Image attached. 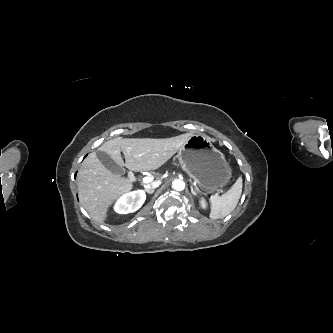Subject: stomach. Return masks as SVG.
Here are the masks:
<instances>
[{
    "label": "stomach",
    "mask_w": 333,
    "mask_h": 333,
    "mask_svg": "<svg viewBox=\"0 0 333 333\" xmlns=\"http://www.w3.org/2000/svg\"><path fill=\"white\" fill-rule=\"evenodd\" d=\"M178 159L182 169L206 193L220 191L232 177L224 154L203 134L192 135L179 150Z\"/></svg>",
    "instance_id": "stomach-1"
}]
</instances>
